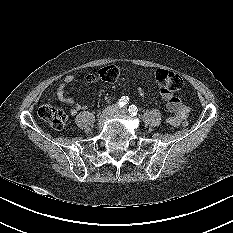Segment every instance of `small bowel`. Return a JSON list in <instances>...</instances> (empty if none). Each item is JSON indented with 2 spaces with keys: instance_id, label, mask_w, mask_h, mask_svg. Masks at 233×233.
Here are the masks:
<instances>
[{
  "instance_id": "1",
  "label": "small bowel",
  "mask_w": 233,
  "mask_h": 233,
  "mask_svg": "<svg viewBox=\"0 0 233 233\" xmlns=\"http://www.w3.org/2000/svg\"><path fill=\"white\" fill-rule=\"evenodd\" d=\"M73 80L74 77L72 75H67L57 88L56 95L62 103L70 106L69 112L74 116L79 111L86 110L88 106L86 104L77 103L73 98L66 95V86L72 83ZM161 96L166 102L167 109L173 114L167 119V123L171 126H179L184 123L190 113L189 107L172 93L161 90Z\"/></svg>"
}]
</instances>
